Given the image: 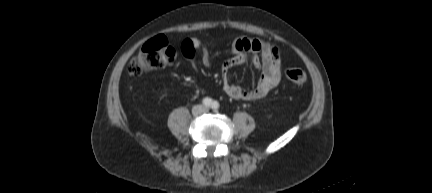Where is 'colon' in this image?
Here are the masks:
<instances>
[{"instance_id": "1", "label": "colon", "mask_w": 432, "mask_h": 193, "mask_svg": "<svg viewBox=\"0 0 432 193\" xmlns=\"http://www.w3.org/2000/svg\"><path fill=\"white\" fill-rule=\"evenodd\" d=\"M174 58V48L164 37L157 36L146 42L138 54L128 63L127 72L131 75L146 74L171 64ZM285 77L288 81L299 86L307 82V74L298 68L286 69Z\"/></svg>"}]
</instances>
